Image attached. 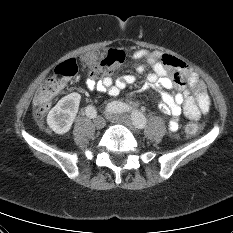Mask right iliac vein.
Returning a JSON list of instances; mask_svg holds the SVG:
<instances>
[{
	"instance_id": "1",
	"label": "right iliac vein",
	"mask_w": 233,
	"mask_h": 233,
	"mask_svg": "<svg viewBox=\"0 0 233 233\" xmlns=\"http://www.w3.org/2000/svg\"><path fill=\"white\" fill-rule=\"evenodd\" d=\"M94 125L98 129H102L105 126V120L103 117L98 116L94 119Z\"/></svg>"
}]
</instances>
